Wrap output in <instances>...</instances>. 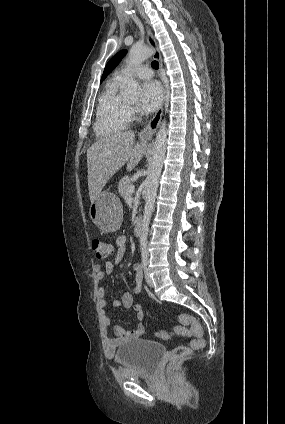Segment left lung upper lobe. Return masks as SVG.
Here are the masks:
<instances>
[{
    "label": "left lung upper lobe",
    "instance_id": "left-lung-upper-lobe-1",
    "mask_svg": "<svg viewBox=\"0 0 285 424\" xmlns=\"http://www.w3.org/2000/svg\"><path fill=\"white\" fill-rule=\"evenodd\" d=\"M126 50L119 51L116 55H114L111 60L107 63L104 69V73L101 78V82L112 72V70L120 63L122 58L126 55Z\"/></svg>",
    "mask_w": 285,
    "mask_h": 424
}]
</instances>
